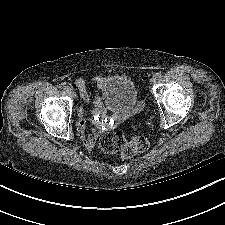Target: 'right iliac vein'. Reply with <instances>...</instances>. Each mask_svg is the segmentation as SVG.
<instances>
[{
    "instance_id": "obj_1",
    "label": "right iliac vein",
    "mask_w": 225,
    "mask_h": 225,
    "mask_svg": "<svg viewBox=\"0 0 225 225\" xmlns=\"http://www.w3.org/2000/svg\"><path fill=\"white\" fill-rule=\"evenodd\" d=\"M69 94H70V96L72 97V98H76V92L75 91H73L72 89H70V91H69Z\"/></svg>"
}]
</instances>
